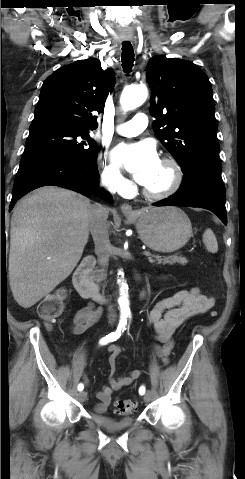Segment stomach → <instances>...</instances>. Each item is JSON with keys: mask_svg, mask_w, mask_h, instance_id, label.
Here are the masks:
<instances>
[{"mask_svg": "<svg viewBox=\"0 0 245 479\" xmlns=\"http://www.w3.org/2000/svg\"><path fill=\"white\" fill-rule=\"evenodd\" d=\"M128 218L135 223L142 242L157 252L182 248L193 233L190 219L176 207H147Z\"/></svg>", "mask_w": 245, "mask_h": 479, "instance_id": "1", "label": "stomach"}]
</instances>
